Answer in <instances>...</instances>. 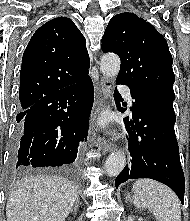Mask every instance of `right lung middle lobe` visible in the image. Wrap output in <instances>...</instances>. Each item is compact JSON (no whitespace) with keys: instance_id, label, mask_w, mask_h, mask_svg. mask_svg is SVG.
<instances>
[{"instance_id":"1","label":"right lung middle lobe","mask_w":190,"mask_h":221,"mask_svg":"<svg viewBox=\"0 0 190 221\" xmlns=\"http://www.w3.org/2000/svg\"><path fill=\"white\" fill-rule=\"evenodd\" d=\"M16 120H17L18 123H20L21 120H22V117L18 114Z\"/></svg>"}]
</instances>
